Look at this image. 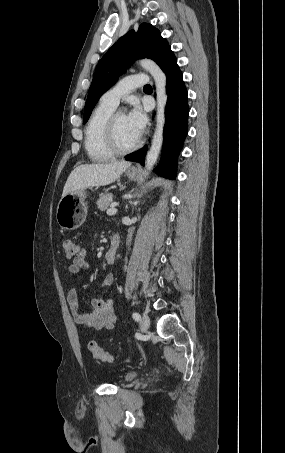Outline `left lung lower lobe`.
Here are the masks:
<instances>
[{
    "instance_id": "obj_1",
    "label": "left lung lower lobe",
    "mask_w": 285,
    "mask_h": 453,
    "mask_svg": "<svg viewBox=\"0 0 285 453\" xmlns=\"http://www.w3.org/2000/svg\"><path fill=\"white\" fill-rule=\"evenodd\" d=\"M159 66L167 76L168 99L165 109V126L163 132V158L157 173L165 178L176 176V158L187 134L188 99L183 82V75L177 65V59L171 49L161 59ZM148 146L125 156L126 160L140 162L144 166Z\"/></svg>"
}]
</instances>
